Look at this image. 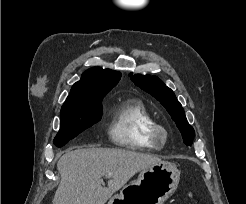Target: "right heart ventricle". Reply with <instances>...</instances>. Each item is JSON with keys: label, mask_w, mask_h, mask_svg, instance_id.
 <instances>
[{"label": "right heart ventricle", "mask_w": 246, "mask_h": 204, "mask_svg": "<svg viewBox=\"0 0 246 204\" xmlns=\"http://www.w3.org/2000/svg\"><path fill=\"white\" fill-rule=\"evenodd\" d=\"M155 124V117L143 102L126 100L112 109L108 136L114 145L121 148L156 150L159 146L149 138V132Z\"/></svg>", "instance_id": "obj_1"}]
</instances>
